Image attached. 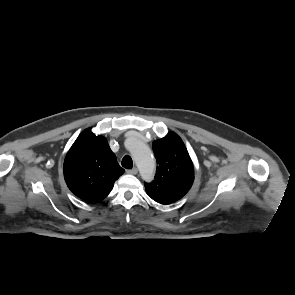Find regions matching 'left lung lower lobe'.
Returning a JSON list of instances; mask_svg holds the SVG:
<instances>
[{"label":"left lung lower lobe","instance_id":"left-lung-lower-lobe-1","mask_svg":"<svg viewBox=\"0 0 295 295\" xmlns=\"http://www.w3.org/2000/svg\"><path fill=\"white\" fill-rule=\"evenodd\" d=\"M150 198H152L155 202H157V203H160V204H163V205H167V203H165V202H163V201H161V200H159V199H156V198H154V197H150Z\"/></svg>","mask_w":295,"mask_h":295}]
</instances>
